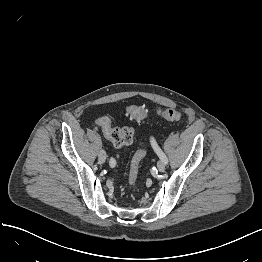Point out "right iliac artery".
Returning <instances> with one entry per match:
<instances>
[{
    "mask_svg": "<svg viewBox=\"0 0 262 262\" xmlns=\"http://www.w3.org/2000/svg\"><path fill=\"white\" fill-rule=\"evenodd\" d=\"M114 162H115V161H114L113 159H111V160H110V166H112V165L114 164Z\"/></svg>",
    "mask_w": 262,
    "mask_h": 262,
    "instance_id": "1",
    "label": "right iliac artery"
}]
</instances>
